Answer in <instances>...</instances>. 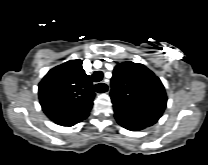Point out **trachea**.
I'll return each mask as SVG.
<instances>
[{
  "label": "trachea",
  "instance_id": "obj_1",
  "mask_svg": "<svg viewBox=\"0 0 208 165\" xmlns=\"http://www.w3.org/2000/svg\"><path fill=\"white\" fill-rule=\"evenodd\" d=\"M103 78V72L102 71H96L93 73L92 75V79L94 82H99L101 81ZM95 90L98 92V93H104L106 92L107 88L101 84H97L95 85Z\"/></svg>",
  "mask_w": 208,
  "mask_h": 165
}]
</instances>
